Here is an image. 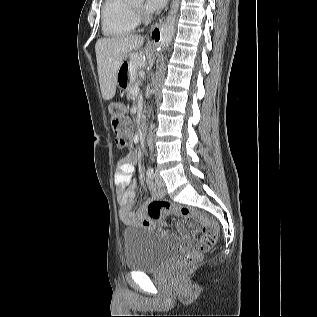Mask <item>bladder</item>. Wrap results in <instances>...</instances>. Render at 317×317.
<instances>
[{
	"label": "bladder",
	"mask_w": 317,
	"mask_h": 317,
	"mask_svg": "<svg viewBox=\"0 0 317 317\" xmlns=\"http://www.w3.org/2000/svg\"><path fill=\"white\" fill-rule=\"evenodd\" d=\"M176 240L160 237L142 226L124 231L125 267L132 271H154L163 267L178 253Z\"/></svg>",
	"instance_id": "31cf9c89"
}]
</instances>
